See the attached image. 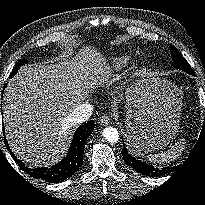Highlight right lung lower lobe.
<instances>
[{"label": "right lung lower lobe", "instance_id": "obj_1", "mask_svg": "<svg viewBox=\"0 0 205 205\" xmlns=\"http://www.w3.org/2000/svg\"><path fill=\"white\" fill-rule=\"evenodd\" d=\"M93 130V120L78 128L74 134L72 144L66 157L61 162L57 163L56 165L50 168L42 167L30 169L26 167L25 164H23L22 161L18 160L10 151L7 142H5V145L11 153V156L13 157L15 162L18 163L22 170L27 172L32 177L41 178L52 183H58L72 176L83 164L85 142Z\"/></svg>", "mask_w": 205, "mask_h": 205}]
</instances>
